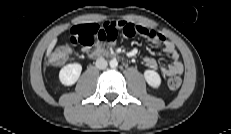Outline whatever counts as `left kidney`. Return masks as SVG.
<instances>
[{
  "instance_id": "5707ae66",
  "label": "left kidney",
  "mask_w": 231,
  "mask_h": 134,
  "mask_svg": "<svg viewBox=\"0 0 231 134\" xmlns=\"http://www.w3.org/2000/svg\"><path fill=\"white\" fill-rule=\"evenodd\" d=\"M144 77L146 82L152 88H159L161 85L160 75L155 70H145Z\"/></svg>"
}]
</instances>
